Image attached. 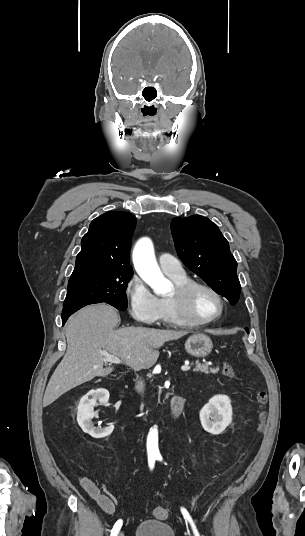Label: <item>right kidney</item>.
<instances>
[{
	"label": "right kidney",
	"mask_w": 305,
	"mask_h": 536,
	"mask_svg": "<svg viewBox=\"0 0 305 536\" xmlns=\"http://www.w3.org/2000/svg\"><path fill=\"white\" fill-rule=\"evenodd\" d=\"M88 396H93L92 400H88ZM96 400L106 404L109 400V392L107 390H93V394H87L83 396L80 400L78 406V424L82 428L85 434H89L92 438H105L111 434L114 426H109V428H94L91 420L94 418L95 414L93 412L94 406H96Z\"/></svg>",
	"instance_id": "ca27d5eb"
}]
</instances>
